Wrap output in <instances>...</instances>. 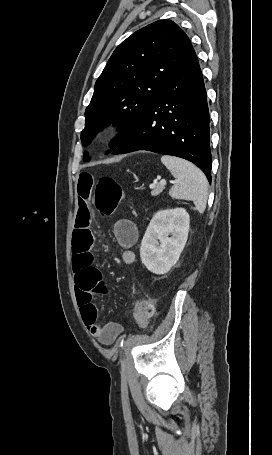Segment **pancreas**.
Returning <instances> with one entry per match:
<instances>
[{"instance_id":"cf45deb5","label":"pancreas","mask_w":272,"mask_h":455,"mask_svg":"<svg viewBox=\"0 0 272 455\" xmlns=\"http://www.w3.org/2000/svg\"><path fill=\"white\" fill-rule=\"evenodd\" d=\"M164 189V186H162L160 183L157 184L153 190L151 191L152 196H158Z\"/></svg>"}]
</instances>
